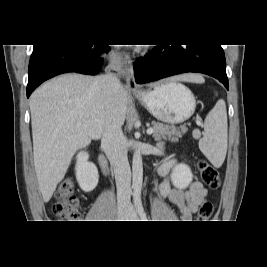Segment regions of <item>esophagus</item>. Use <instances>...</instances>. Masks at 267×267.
Returning a JSON list of instances; mask_svg holds the SVG:
<instances>
[{
	"label": "esophagus",
	"instance_id": "1",
	"mask_svg": "<svg viewBox=\"0 0 267 267\" xmlns=\"http://www.w3.org/2000/svg\"><path fill=\"white\" fill-rule=\"evenodd\" d=\"M124 62L125 64H128L130 66V68L125 69L123 71L125 78H126L127 87L132 91H141V87L136 83L133 71L131 69V65L133 61L130 55L127 53H125Z\"/></svg>",
	"mask_w": 267,
	"mask_h": 267
}]
</instances>
